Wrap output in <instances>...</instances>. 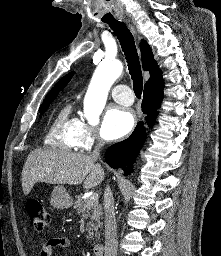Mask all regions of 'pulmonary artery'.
<instances>
[{
  "mask_svg": "<svg viewBox=\"0 0 221 256\" xmlns=\"http://www.w3.org/2000/svg\"><path fill=\"white\" fill-rule=\"evenodd\" d=\"M112 98L119 104L129 106L133 103V94L131 89L124 84L116 85L111 90Z\"/></svg>",
  "mask_w": 221,
  "mask_h": 256,
  "instance_id": "e3ab8cb5",
  "label": "pulmonary artery"
}]
</instances>
